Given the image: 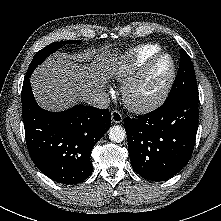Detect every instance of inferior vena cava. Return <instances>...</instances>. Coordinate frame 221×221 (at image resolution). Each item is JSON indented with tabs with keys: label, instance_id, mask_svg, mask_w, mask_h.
I'll return each mask as SVG.
<instances>
[{
	"label": "inferior vena cava",
	"instance_id": "602c4592",
	"mask_svg": "<svg viewBox=\"0 0 221 221\" xmlns=\"http://www.w3.org/2000/svg\"><path fill=\"white\" fill-rule=\"evenodd\" d=\"M85 102L91 106L105 109V108H108L110 99L105 92L101 91V92L93 93L87 96L85 98Z\"/></svg>",
	"mask_w": 221,
	"mask_h": 221
}]
</instances>
